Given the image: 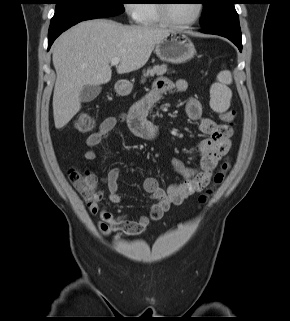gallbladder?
<instances>
[{"instance_id": "bac80fb5", "label": "gallbladder", "mask_w": 290, "mask_h": 321, "mask_svg": "<svg viewBox=\"0 0 290 321\" xmlns=\"http://www.w3.org/2000/svg\"><path fill=\"white\" fill-rule=\"evenodd\" d=\"M100 92L101 87L99 85H86L80 93V100L82 102H91L100 94Z\"/></svg>"}]
</instances>
